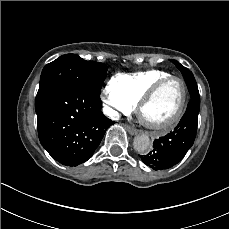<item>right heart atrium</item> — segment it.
Returning a JSON list of instances; mask_svg holds the SVG:
<instances>
[{
	"instance_id": "right-heart-atrium-1",
	"label": "right heart atrium",
	"mask_w": 229,
	"mask_h": 229,
	"mask_svg": "<svg viewBox=\"0 0 229 229\" xmlns=\"http://www.w3.org/2000/svg\"><path fill=\"white\" fill-rule=\"evenodd\" d=\"M101 102L112 117L117 113L130 114L137 107V102L118 91L113 82L102 89Z\"/></svg>"
}]
</instances>
